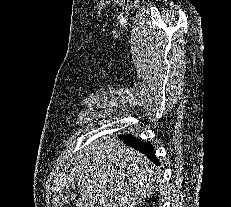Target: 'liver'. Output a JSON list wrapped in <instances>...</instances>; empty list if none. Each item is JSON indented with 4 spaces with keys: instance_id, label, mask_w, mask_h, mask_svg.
Wrapping results in <instances>:
<instances>
[{
    "instance_id": "obj_1",
    "label": "liver",
    "mask_w": 231,
    "mask_h": 207,
    "mask_svg": "<svg viewBox=\"0 0 231 207\" xmlns=\"http://www.w3.org/2000/svg\"><path fill=\"white\" fill-rule=\"evenodd\" d=\"M142 153L116 137L95 139L74 162L82 199L77 207H136L160 176Z\"/></svg>"
}]
</instances>
